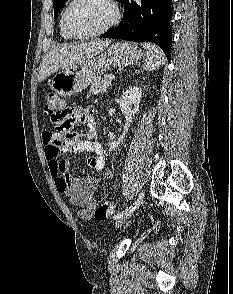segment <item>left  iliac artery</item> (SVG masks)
I'll list each match as a JSON object with an SVG mask.
<instances>
[{
    "mask_svg": "<svg viewBox=\"0 0 233 294\" xmlns=\"http://www.w3.org/2000/svg\"><path fill=\"white\" fill-rule=\"evenodd\" d=\"M143 199H144V194L140 193L138 196V199L131 206L127 207L124 211H121L120 213L116 214L114 216V219H118L122 217L124 214L135 211V209H137L140 206V204L143 202Z\"/></svg>",
    "mask_w": 233,
    "mask_h": 294,
    "instance_id": "44dca946",
    "label": "left iliac artery"
}]
</instances>
